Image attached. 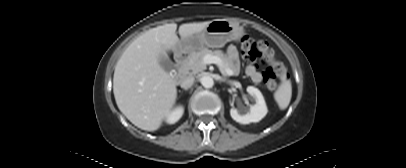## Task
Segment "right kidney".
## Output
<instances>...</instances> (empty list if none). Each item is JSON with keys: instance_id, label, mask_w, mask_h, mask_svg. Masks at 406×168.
<instances>
[{"instance_id": "ca27d5eb", "label": "right kidney", "mask_w": 406, "mask_h": 168, "mask_svg": "<svg viewBox=\"0 0 406 168\" xmlns=\"http://www.w3.org/2000/svg\"><path fill=\"white\" fill-rule=\"evenodd\" d=\"M184 109L182 106L176 107L174 110L168 113L166 122L169 124L176 123L183 115Z\"/></svg>"}]
</instances>
